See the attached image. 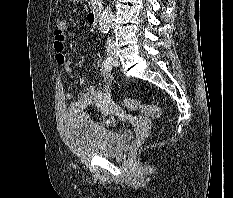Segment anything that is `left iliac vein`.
Returning a JSON list of instances; mask_svg holds the SVG:
<instances>
[{
  "instance_id": "1",
  "label": "left iliac vein",
  "mask_w": 233,
  "mask_h": 198,
  "mask_svg": "<svg viewBox=\"0 0 233 198\" xmlns=\"http://www.w3.org/2000/svg\"><path fill=\"white\" fill-rule=\"evenodd\" d=\"M112 61H113V65L115 67L119 65V59H118V57L114 53H113V59H112Z\"/></svg>"
}]
</instances>
